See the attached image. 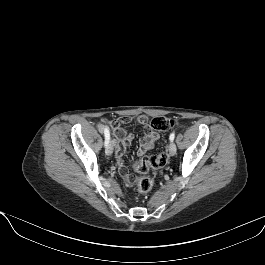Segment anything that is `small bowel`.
<instances>
[{"mask_svg": "<svg viewBox=\"0 0 265 265\" xmlns=\"http://www.w3.org/2000/svg\"><path fill=\"white\" fill-rule=\"evenodd\" d=\"M133 120L141 124L146 123V118L144 116H139L136 118L121 117L117 120L110 122V126L113 130V134L116 139V164L120 176L127 183H130L131 177L127 168L124 165L123 157L126 152V149L132 143L134 137L131 133H128L126 131L124 125L132 122ZM99 129H102V126H99ZM158 139L159 134L153 131L149 126L145 125L143 136L140 138V144L137 150V154L139 156H142L147 152L151 151L154 148L155 143L158 141Z\"/></svg>", "mask_w": 265, "mask_h": 265, "instance_id": "c3829d8e", "label": "small bowel"}]
</instances>
